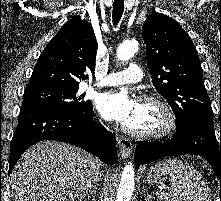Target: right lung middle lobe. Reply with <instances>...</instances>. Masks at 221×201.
<instances>
[{
	"mask_svg": "<svg viewBox=\"0 0 221 201\" xmlns=\"http://www.w3.org/2000/svg\"><path fill=\"white\" fill-rule=\"evenodd\" d=\"M79 88L30 87L25 88L22 107L42 105L63 109L78 114H87L92 108L90 100H82L84 95L77 96Z\"/></svg>",
	"mask_w": 221,
	"mask_h": 201,
	"instance_id": "dd1d6c3e",
	"label": "right lung middle lobe"
}]
</instances>
